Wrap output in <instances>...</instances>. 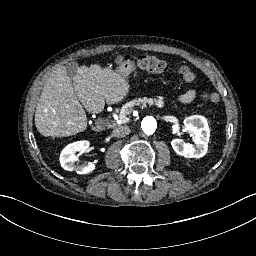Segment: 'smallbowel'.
<instances>
[{"mask_svg":"<svg viewBox=\"0 0 256 256\" xmlns=\"http://www.w3.org/2000/svg\"><path fill=\"white\" fill-rule=\"evenodd\" d=\"M195 97H196V90L188 89L179 95L178 100L181 103L188 104V103H191L195 99Z\"/></svg>","mask_w":256,"mask_h":256,"instance_id":"obj_1","label":"small bowel"}]
</instances>
